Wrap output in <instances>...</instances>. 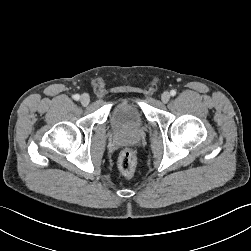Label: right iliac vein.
<instances>
[{
  "label": "right iliac vein",
  "mask_w": 251,
  "mask_h": 251,
  "mask_svg": "<svg viewBox=\"0 0 251 251\" xmlns=\"http://www.w3.org/2000/svg\"><path fill=\"white\" fill-rule=\"evenodd\" d=\"M80 102L83 106H87L90 102V97L88 94H82L80 97Z\"/></svg>",
  "instance_id": "right-iliac-vein-1"
}]
</instances>
